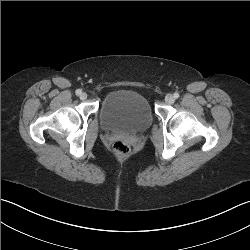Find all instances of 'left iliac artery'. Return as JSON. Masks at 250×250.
<instances>
[{
	"label": "left iliac artery",
	"instance_id": "left-iliac-artery-1",
	"mask_svg": "<svg viewBox=\"0 0 250 250\" xmlns=\"http://www.w3.org/2000/svg\"><path fill=\"white\" fill-rule=\"evenodd\" d=\"M174 98H175V99L179 98V93L175 92V93H174Z\"/></svg>",
	"mask_w": 250,
	"mask_h": 250
}]
</instances>
